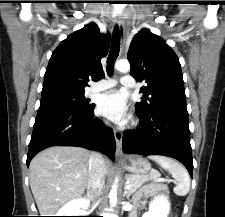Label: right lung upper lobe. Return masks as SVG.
Instances as JSON below:
<instances>
[{
  "mask_svg": "<svg viewBox=\"0 0 225 217\" xmlns=\"http://www.w3.org/2000/svg\"><path fill=\"white\" fill-rule=\"evenodd\" d=\"M109 41V36L101 34L95 23L69 35L52 53L42 94L85 92L89 79L97 81L104 76L100 60L108 53Z\"/></svg>",
  "mask_w": 225,
  "mask_h": 217,
  "instance_id": "right-lung-upper-lobe-1",
  "label": "right lung upper lobe"
}]
</instances>
